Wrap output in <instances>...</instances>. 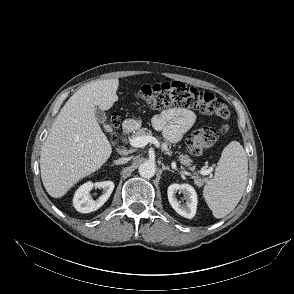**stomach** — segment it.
<instances>
[{"label":"stomach","instance_id":"obj_1","mask_svg":"<svg viewBox=\"0 0 294 294\" xmlns=\"http://www.w3.org/2000/svg\"><path fill=\"white\" fill-rule=\"evenodd\" d=\"M135 125H136L137 127L140 126V125H141V120H140V119L135 120Z\"/></svg>","mask_w":294,"mask_h":294}]
</instances>
